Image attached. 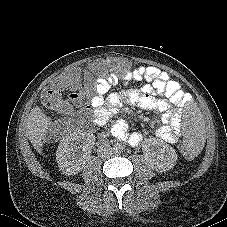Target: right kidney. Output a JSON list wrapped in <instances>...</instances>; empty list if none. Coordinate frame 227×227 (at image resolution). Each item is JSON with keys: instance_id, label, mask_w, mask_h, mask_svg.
<instances>
[{"instance_id": "obj_1", "label": "right kidney", "mask_w": 227, "mask_h": 227, "mask_svg": "<svg viewBox=\"0 0 227 227\" xmlns=\"http://www.w3.org/2000/svg\"><path fill=\"white\" fill-rule=\"evenodd\" d=\"M95 142L93 134L74 132L64 137L56 151L59 169L66 175H75L85 166Z\"/></svg>"}]
</instances>
